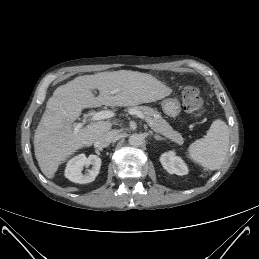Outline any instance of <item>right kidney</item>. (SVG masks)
Listing matches in <instances>:
<instances>
[{
    "label": "right kidney",
    "mask_w": 259,
    "mask_h": 259,
    "mask_svg": "<svg viewBox=\"0 0 259 259\" xmlns=\"http://www.w3.org/2000/svg\"><path fill=\"white\" fill-rule=\"evenodd\" d=\"M101 163V159L96 155L86 157L85 154H79L68 161L65 169V177L79 184L93 182L99 174ZM90 165L92 169L88 170L86 174H82V168Z\"/></svg>",
    "instance_id": "1"
}]
</instances>
